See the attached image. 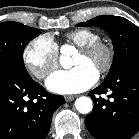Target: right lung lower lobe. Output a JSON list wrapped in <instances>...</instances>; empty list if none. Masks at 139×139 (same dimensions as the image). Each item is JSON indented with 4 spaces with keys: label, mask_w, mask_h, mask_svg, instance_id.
<instances>
[{
    "label": "right lung lower lobe",
    "mask_w": 139,
    "mask_h": 139,
    "mask_svg": "<svg viewBox=\"0 0 139 139\" xmlns=\"http://www.w3.org/2000/svg\"><path fill=\"white\" fill-rule=\"evenodd\" d=\"M64 103L27 71L0 63V139H45L54 111Z\"/></svg>",
    "instance_id": "1"
}]
</instances>
